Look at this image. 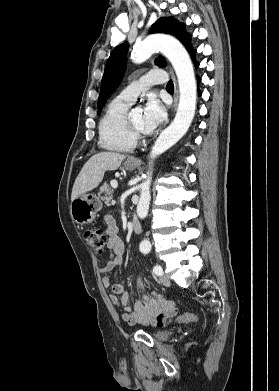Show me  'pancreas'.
<instances>
[{"instance_id":"pancreas-1","label":"pancreas","mask_w":279,"mask_h":391,"mask_svg":"<svg viewBox=\"0 0 279 391\" xmlns=\"http://www.w3.org/2000/svg\"><path fill=\"white\" fill-rule=\"evenodd\" d=\"M99 196L101 199L108 204L113 197V189L109 186L108 183H104L100 188Z\"/></svg>"}]
</instances>
